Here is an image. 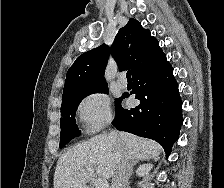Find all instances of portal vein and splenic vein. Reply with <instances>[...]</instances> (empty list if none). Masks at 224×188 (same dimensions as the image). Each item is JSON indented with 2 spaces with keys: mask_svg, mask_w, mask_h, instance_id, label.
<instances>
[{
  "mask_svg": "<svg viewBox=\"0 0 224 188\" xmlns=\"http://www.w3.org/2000/svg\"><path fill=\"white\" fill-rule=\"evenodd\" d=\"M95 188H109L108 182L104 178H98L95 181Z\"/></svg>",
  "mask_w": 224,
  "mask_h": 188,
  "instance_id": "portal-vein-and-splenic-vein-1",
  "label": "portal vein and splenic vein"
}]
</instances>
